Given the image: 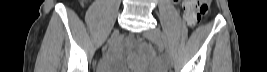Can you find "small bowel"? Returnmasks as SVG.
<instances>
[{
    "instance_id": "small-bowel-1",
    "label": "small bowel",
    "mask_w": 267,
    "mask_h": 72,
    "mask_svg": "<svg viewBox=\"0 0 267 72\" xmlns=\"http://www.w3.org/2000/svg\"><path fill=\"white\" fill-rule=\"evenodd\" d=\"M182 8L184 10V16L186 22L190 25L193 26L197 23L198 17L194 14V8H195V3L194 1L191 0H185L181 2Z\"/></svg>"
}]
</instances>
